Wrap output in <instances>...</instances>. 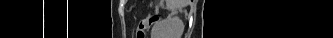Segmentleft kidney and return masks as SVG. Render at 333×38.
Masks as SVG:
<instances>
[{"label": "left kidney", "instance_id": "obj_1", "mask_svg": "<svg viewBox=\"0 0 333 38\" xmlns=\"http://www.w3.org/2000/svg\"><path fill=\"white\" fill-rule=\"evenodd\" d=\"M184 32L183 21L176 16H167L153 27L152 34L157 38H181Z\"/></svg>", "mask_w": 333, "mask_h": 38}]
</instances>
